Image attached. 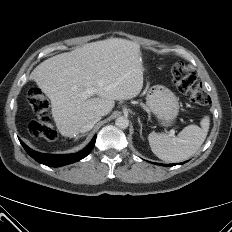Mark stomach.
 I'll list each match as a JSON object with an SVG mask.
<instances>
[{
  "mask_svg": "<svg viewBox=\"0 0 232 232\" xmlns=\"http://www.w3.org/2000/svg\"><path fill=\"white\" fill-rule=\"evenodd\" d=\"M146 103L150 111L163 126L172 125L178 116V98L164 86L157 85L152 87L147 94Z\"/></svg>",
  "mask_w": 232,
  "mask_h": 232,
  "instance_id": "1",
  "label": "stomach"
}]
</instances>
